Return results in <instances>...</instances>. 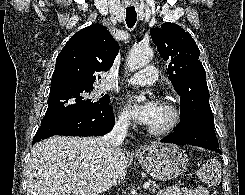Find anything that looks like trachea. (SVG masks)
I'll return each instance as SVG.
<instances>
[{
  "label": "trachea",
  "mask_w": 245,
  "mask_h": 195,
  "mask_svg": "<svg viewBox=\"0 0 245 195\" xmlns=\"http://www.w3.org/2000/svg\"><path fill=\"white\" fill-rule=\"evenodd\" d=\"M137 14L134 7L126 8V24L129 28H133L136 23Z\"/></svg>",
  "instance_id": "obj_1"
}]
</instances>
